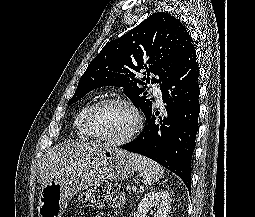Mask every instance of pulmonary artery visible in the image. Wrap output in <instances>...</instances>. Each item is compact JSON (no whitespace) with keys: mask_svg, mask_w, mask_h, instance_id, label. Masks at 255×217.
Masks as SVG:
<instances>
[{"mask_svg":"<svg viewBox=\"0 0 255 217\" xmlns=\"http://www.w3.org/2000/svg\"><path fill=\"white\" fill-rule=\"evenodd\" d=\"M153 89H154V95H155L157 103L161 104L162 103L161 84L158 82L155 83Z\"/></svg>","mask_w":255,"mask_h":217,"instance_id":"pulmonary-artery-1","label":"pulmonary artery"}]
</instances>
